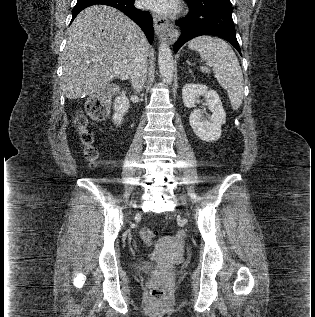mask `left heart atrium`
<instances>
[{
	"instance_id": "obj_1",
	"label": "left heart atrium",
	"mask_w": 315,
	"mask_h": 317,
	"mask_svg": "<svg viewBox=\"0 0 315 317\" xmlns=\"http://www.w3.org/2000/svg\"><path fill=\"white\" fill-rule=\"evenodd\" d=\"M141 5L159 13H169L175 8L173 0H141Z\"/></svg>"
}]
</instances>
